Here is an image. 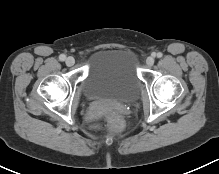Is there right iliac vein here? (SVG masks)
Listing matches in <instances>:
<instances>
[{
  "label": "right iliac vein",
  "mask_w": 219,
  "mask_h": 174,
  "mask_svg": "<svg viewBox=\"0 0 219 174\" xmlns=\"http://www.w3.org/2000/svg\"><path fill=\"white\" fill-rule=\"evenodd\" d=\"M65 62L67 66H72L75 63V59L72 56H69Z\"/></svg>",
  "instance_id": "63e3f726"
}]
</instances>
